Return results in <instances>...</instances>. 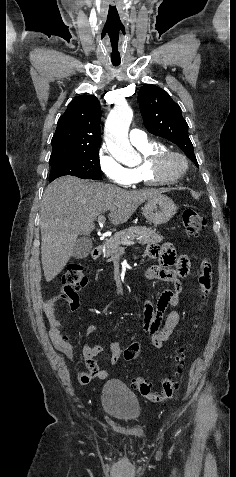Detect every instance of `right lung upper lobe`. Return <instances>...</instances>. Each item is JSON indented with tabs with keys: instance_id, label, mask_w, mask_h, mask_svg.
<instances>
[{
	"instance_id": "1",
	"label": "right lung upper lobe",
	"mask_w": 236,
	"mask_h": 477,
	"mask_svg": "<svg viewBox=\"0 0 236 477\" xmlns=\"http://www.w3.org/2000/svg\"><path fill=\"white\" fill-rule=\"evenodd\" d=\"M100 122V102L94 95L74 98L58 121L50 161L98 148Z\"/></svg>"
}]
</instances>
